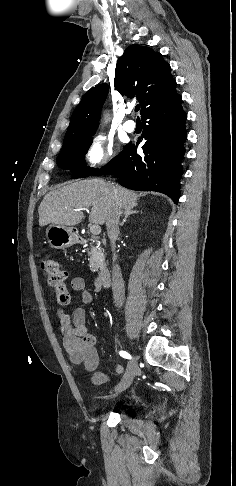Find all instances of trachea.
I'll list each match as a JSON object with an SVG mask.
<instances>
[{
  "mask_svg": "<svg viewBox=\"0 0 236 486\" xmlns=\"http://www.w3.org/2000/svg\"><path fill=\"white\" fill-rule=\"evenodd\" d=\"M139 109H140V105H136L135 106V111L137 112V111H139Z\"/></svg>",
  "mask_w": 236,
  "mask_h": 486,
  "instance_id": "3493384b",
  "label": "trachea"
}]
</instances>
